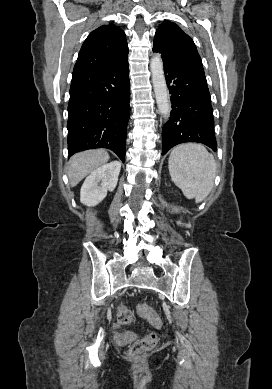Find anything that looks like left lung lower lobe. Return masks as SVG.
Returning <instances> with one entry per match:
<instances>
[{"mask_svg":"<svg viewBox=\"0 0 272 389\" xmlns=\"http://www.w3.org/2000/svg\"><path fill=\"white\" fill-rule=\"evenodd\" d=\"M163 62L172 111L162 130V155L185 142L202 143L216 151L213 111L203 67Z\"/></svg>","mask_w":272,"mask_h":389,"instance_id":"1","label":"left lung lower lobe"}]
</instances>
